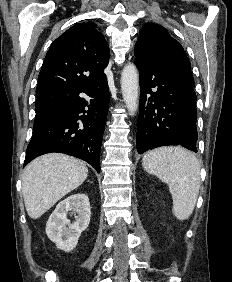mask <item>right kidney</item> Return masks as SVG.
Segmentation results:
<instances>
[{
  "label": "right kidney",
  "instance_id": "ca27d5eb",
  "mask_svg": "<svg viewBox=\"0 0 232 282\" xmlns=\"http://www.w3.org/2000/svg\"><path fill=\"white\" fill-rule=\"evenodd\" d=\"M68 214L75 215L73 223L67 218ZM90 217L88 196L83 193L71 195L61 201L50 215L46 234L58 249L70 252L77 246L81 233L88 227Z\"/></svg>",
  "mask_w": 232,
  "mask_h": 282
}]
</instances>
